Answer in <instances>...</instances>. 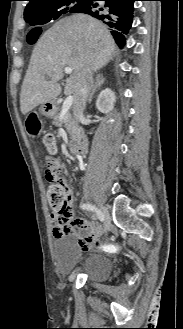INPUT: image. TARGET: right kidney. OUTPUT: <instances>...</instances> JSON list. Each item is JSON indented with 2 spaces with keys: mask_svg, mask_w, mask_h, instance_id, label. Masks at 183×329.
Segmentation results:
<instances>
[{
  "mask_svg": "<svg viewBox=\"0 0 183 329\" xmlns=\"http://www.w3.org/2000/svg\"><path fill=\"white\" fill-rule=\"evenodd\" d=\"M116 101V96L114 92L106 88L100 92L96 100V107L102 113H109L114 109V103Z\"/></svg>",
  "mask_w": 183,
  "mask_h": 329,
  "instance_id": "ca27d5eb",
  "label": "right kidney"
}]
</instances>
